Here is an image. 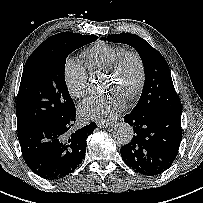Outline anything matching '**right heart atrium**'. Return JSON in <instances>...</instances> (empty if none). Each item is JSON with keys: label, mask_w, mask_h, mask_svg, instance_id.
I'll return each mask as SVG.
<instances>
[{"label": "right heart atrium", "mask_w": 203, "mask_h": 203, "mask_svg": "<svg viewBox=\"0 0 203 203\" xmlns=\"http://www.w3.org/2000/svg\"><path fill=\"white\" fill-rule=\"evenodd\" d=\"M63 78L71 96L79 98L87 93L88 70L78 59L70 57L65 61Z\"/></svg>", "instance_id": "right-heart-atrium-1"}]
</instances>
